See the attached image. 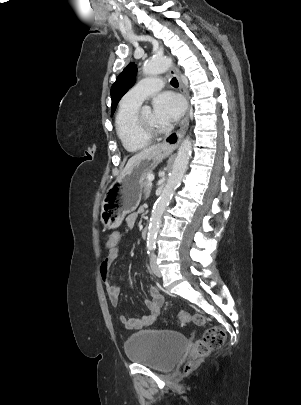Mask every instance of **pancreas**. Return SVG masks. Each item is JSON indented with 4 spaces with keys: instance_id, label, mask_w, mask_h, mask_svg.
<instances>
[{
    "instance_id": "obj_1",
    "label": "pancreas",
    "mask_w": 301,
    "mask_h": 405,
    "mask_svg": "<svg viewBox=\"0 0 301 405\" xmlns=\"http://www.w3.org/2000/svg\"><path fill=\"white\" fill-rule=\"evenodd\" d=\"M148 175H150V174H148ZM143 187H144V197L147 199L150 195L151 188H152L151 182L148 180L147 177L145 179Z\"/></svg>"
}]
</instances>
